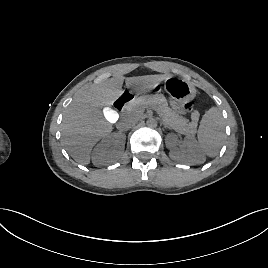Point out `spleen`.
<instances>
[{"instance_id":"1","label":"spleen","mask_w":268,"mask_h":268,"mask_svg":"<svg viewBox=\"0 0 268 268\" xmlns=\"http://www.w3.org/2000/svg\"><path fill=\"white\" fill-rule=\"evenodd\" d=\"M225 124L221 110L211 107L202 117L197 138L200 150L209 157L217 156L225 138Z\"/></svg>"}]
</instances>
